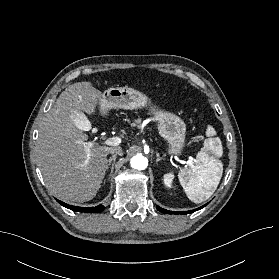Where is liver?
I'll return each instance as SVG.
<instances>
[{
	"label": "liver",
	"mask_w": 279,
	"mask_h": 279,
	"mask_svg": "<svg viewBox=\"0 0 279 279\" xmlns=\"http://www.w3.org/2000/svg\"><path fill=\"white\" fill-rule=\"evenodd\" d=\"M101 95L88 81L68 86L39 127L35 147L37 163L47 188L63 201L82 203L93 199L104 179L107 155L114 147L92 146L86 164L84 143L88 135L70 116L74 110L93 115ZM84 119L87 123L85 115Z\"/></svg>",
	"instance_id": "6515ba94"
}]
</instances>
